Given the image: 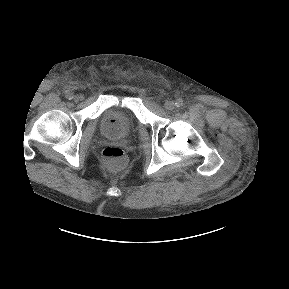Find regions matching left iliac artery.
<instances>
[{
  "mask_svg": "<svg viewBox=\"0 0 289 289\" xmlns=\"http://www.w3.org/2000/svg\"><path fill=\"white\" fill-rule=\"evenodd\" d=\"M183 105V100L182 99H177L175 102L176 107H181Z\"/></svg>",
  "mask_w": 289,
  "mask_h": 289,
  "instance_id": "left-iliac-artery-1",
  "label": "left iliac artery"
}]
</instances>
